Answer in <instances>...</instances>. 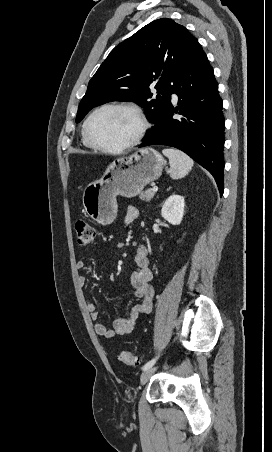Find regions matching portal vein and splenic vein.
I'll use <instances>...</instances> for the list:
<instances>
[{
	"label": "portal vein and splenic vein",
	"instance_id": "1",
	"mask_svg": "<svg viewBox=\"0 0 272 452\" xmlns=\"http://www.w3.org/2000/svg\"><path fill=\"white\" fill-rule=\"evenodd\" d=\"M152 190H153V192H157L158 191V187L154 186Z\"/></svg>",
	"mask_w": 272,
	"mask_h": 452
}]
</instances>
